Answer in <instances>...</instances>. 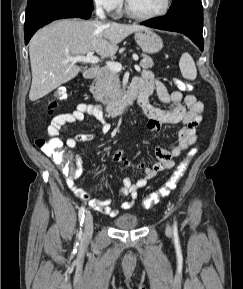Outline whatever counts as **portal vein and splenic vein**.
<instances>
[{
    "label": "portal vein and splenic vein",
    "instance_id": "obj_1",
    "mask_svg": "<svg viewBox=\"0 0 243 289\" xmlns=\"http://www.w3.org/2000/svg\"><path fill=\"white\" fill-rule=\"evenodd\" d=\"M132 58L135 61L138 60L137 55H133ZM67 61L72 63L84 62V63L97 64L100 60L98 57L94 56L92 52H89L87 53L86 56H68ZM106 65L114 72H119L122 69V65L118 62L107 61Z\"/></svg>",
    "mask_w": 243,
    "mask_h": 289
}]
</instances>
